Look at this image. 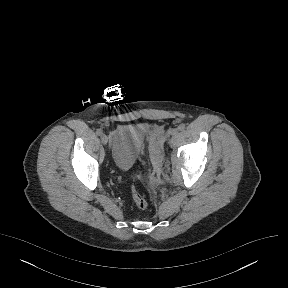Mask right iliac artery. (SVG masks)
Wrapping results in <instances>:
<instances>
[{
  "mask_svg": "<svg viewBox=\"0 0 288 288\" xmlns=\"http://www.w3.org/2000/svg\"><path fill=\"white\" fill-rule=\"evenodd\" d=\"M96 134L98 136H101L103 134V131L101 129H97Z\"/></svg>",
  "mask_w": 288,
  "mask_h": 288,
  "instance_id": "obj_1",
  "label": "right iliac artery"
}]
</instances>
